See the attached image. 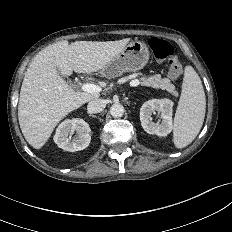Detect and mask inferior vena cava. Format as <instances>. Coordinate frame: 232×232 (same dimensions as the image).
Wrapping results in <instances>:
<instances>
[{"instance_id":"602c4592","label":"inferior vena cava","mask_w":232,"mask_h":232,"mask_svg":"<svg viewBox=\"0 0 232 232\" xmlns=\"http://www.w3.org/2000/svg\"><path fill=\"white\" fill-rule=\"evenodd\" d=\"M105 107H106V101L99 98L91 100L87 105V109L91 113H99Z\"/></svg>"}]
</instances>
